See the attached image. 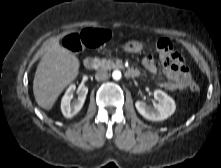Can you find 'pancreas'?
Here are the masks:
<instances>
[{
    "mask_svg": "<svg viewBox=\"0 0 221 168\" xmlns=\"http://www.w3.org/2000/svg\"><path fill=\"white\" fill-rule=\"evenodd\" d=\"M94 63L98 70H110L117 68V65L114 63L113 60H107L105 58L103 59L94 58Z\"/></svg>",
    "mask_w": 221,
    "mask_h": 168,
    "instance_id": "cf45deb5",
    "label": "pancreas"
}]
</instances>
